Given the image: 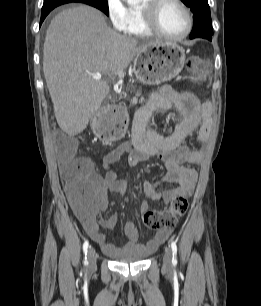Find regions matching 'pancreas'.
I'll list each match as a JSON object with an SVG mask.
<instances>
[{"label":"pancreas","mask_w":261,"mask_h":306,"mask_svg":"<svg viewBox=\"0 0 261 306\" xmlns=\"http://www.w3.org/2000/svg\"><path fill=\"white\" fill-rule=\"evenodd\" d=\"M139 96H140V93H137V94H136V97H134V98L132 99L131 103H132V104H137V102H138L137 97H139ZM144 101H145V100H144V97H141V99L139 100L140 103H142V102H144Z\"/></svg>","instance_id":"cf45deb5"}]
</instances>
